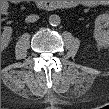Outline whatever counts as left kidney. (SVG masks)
Instances as JSON below:
<instances>
[{
  "instance_id": "5707ae66",
  "label": "left kidney",
  "mask_w": 109,
  "mask_h": 109,
  "mask_svg": "<svg viewBox=\"0 0 109 109\" xmlns=\"http://www.w3.org/2000/svg\"><path fill=\"white\" fill-rule=\"evenodd\" d=\"M109 15L102 14L95 19L94 38L98 45L105 46L109 42Z\"/></svg>"
}]
</instances>
